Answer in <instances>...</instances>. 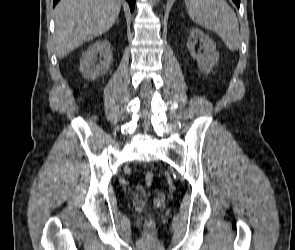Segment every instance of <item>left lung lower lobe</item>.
<instances>
[{"instance_id": "obj_1", "label": "left lung lower lobe", "mask_w": 295, "mask_h": 250, "mask_svg": "<svg viewBox=\"0 0 295 250\" xmlns=\"http://www.w3.org/2000/svg\"><path fill=\"white\" fill-rule=\"evenodd\" d=\"M233 2L237 5V7L239 8L240 5V0H233Z\"/></svg>"}]
</instances>
